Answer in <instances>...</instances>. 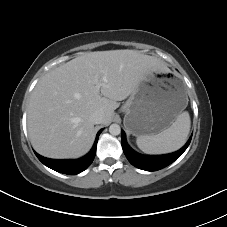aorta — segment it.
<instances>
[{
    "label": "aorta",
    "instance_id": "1",
    "mask_svg": "<svg viewBox=\"0 0 227 227\" xmlns=\"http://www.w3.org/2000/svg\"><path fill=\"white\" fill-rule=\"evenodd\" d=\"M109 132H110L111 135L116 136V135H119L120 134L121 128L116 123L115 124H111L110 127H109Z\"/></svg>",
    "mask_w": 227,
    "mask_h": 227
}]
</instances>
